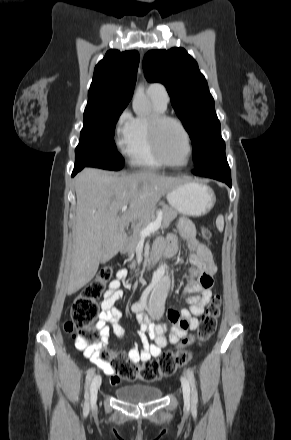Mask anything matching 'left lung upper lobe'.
I'll return each mask as SVG.
<instances>
[{
    "instance_id": "1",
    "label": "left lung upper lobe",
    "mask_w": 291,
    "mask_h": 440,
    "mask_svg": "<svg viewBox=\"0 0 291 440\" xmlns=\"http://www.w3.org/2000/svg\"><path fill=\"white\" fill-rule=\"evenodd\" d=\"M143 68L149 82H160L167 88L171 104L191 137L195 169L225 152L214 99L197 62L186 50H151L144 56Z\"/></svg>"
}]
</instances>
